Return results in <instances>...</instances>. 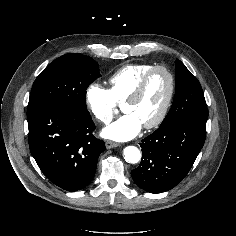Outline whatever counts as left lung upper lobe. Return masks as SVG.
<instances>
[{
	"label": "left lung upper lobe",
	"mask_w": 236,
	"mask_h": 236,
	"mask_svg": "<svg viewBox=\"0 0 236 236\" xmlns=\"http://www.w3.org/2000/svg\"><path fill=\"white\" fill-rule=\"evenodd\" d=\"M175 68L176 93L160 126L181 119L207 121L208 110L199 81L180 60H176Z\"/></svg>",
	"instance_id": "5c2ea615"
}]
</instances>
